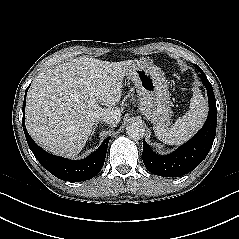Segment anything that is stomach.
<instances>
[{
    "mask_svg": "<svg viewBox=\"0 0 239 239\" xmlns=\"http://www.w3.org/2000/svg\"><path fill=\"white\" fill-rule=\"evenodd\" d=\"M126 76L138 93V108L153 124L166 127L170 121L171 101L168 84L161 70L145 61L134 62Z\"/></svg>",
    "mask_w": 239,
    "mask_h": 239,
    "instance_id": "obj_1",
    "label": "stomach"
}]
</instances>
